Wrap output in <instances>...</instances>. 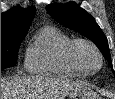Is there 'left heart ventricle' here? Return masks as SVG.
<instances>
[{
	"label": "left heart ventricle",
	"mask_w": 115,
	"mask_h": 99,
	"mask_svg": "<svg viewBox=\"0 0 115 99\" xmlns=\"http://www.w3.org/2000/svg\"><path fill=\"white\" fill-rule=\"evenodd\" d=\"M82 64L90 71H94L99 66V58L96 53L87 46H81L78 50Z\"/></svg>",
	"instance_id": "1"
}]
</instances>
